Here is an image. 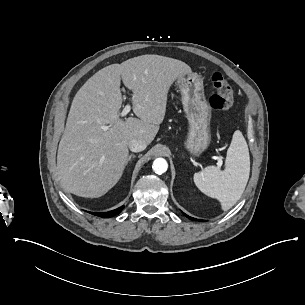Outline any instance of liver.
Returning <instances> with one entry per match:
<instances>
[{
	"label": "liver",
	"mask_w": 305,
	"mask_h": 305,
	"mask_svg": "<svg viewBox=\"0 0 305 305\" xmlns=\"http://www.w3.org/2000/svg\"><path fill=\"white\" fill-rule=\"evenodd\" d=\"M192 74L184 62L143 55L92 76L73 101L58 148L57 176L65 191L88 198L110 191L124 174L128 141L154 140L172 85ZM121 80L133 90V112L140 120L121 118Z\"/></svg>",
	"instance_id": "obj_1"
}]
</instances>
